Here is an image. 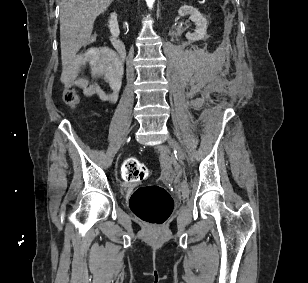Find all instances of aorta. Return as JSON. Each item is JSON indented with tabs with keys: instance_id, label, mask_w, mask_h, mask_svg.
I'll return each mask as SVG.
<instances>
[{
	"instance_id": "obj_1",
	"label": "aorta",
	"mask_w": 308,
	"mask_h": 283,
	"mask_svg": "<svg viewBox=\"0 0 308 283\" xmlns=\"http://www.w3.org/2000/svg\"><path fill=\"white\" fill-rule=\"evenodd\" d=\"M155 0H146L147 5L151 8L154 4Z\"/></svg>"
}]
</instances>
